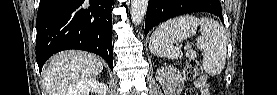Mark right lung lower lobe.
Returning <instances> with one entry per match:
<instances>
[{
    "label": "right lung lower lobe",
    "instance_id": "1",
    "mask_svg": "<svg viewBox=\"0 0 277 95\" xmlns=\"http://www.w3.org/2000/svg\"><path fill=\"white\" fill-rule=\"evenodd\" d=\"M114 0H40L37 13L36 60L67 49L103 57L113 70L111 10Z\"/></svg>",
    "mask_w": 277,
    "mask_h": 95
}]
</instances>
